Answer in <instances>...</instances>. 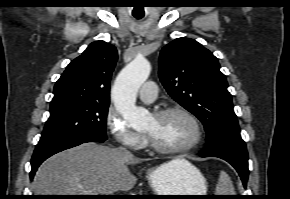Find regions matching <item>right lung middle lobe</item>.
Returning a JSON list of instances; mask_svg holds the SVG:
<instances>
[{"instance_id": "1", "label": "right lung middle lobe", "mask_w": 290, "mask_h": 199, "mask_svg": "<svg viewBox=\"0 0 290 199\" xmlns=\"http://www.w3.org/2000/svg\"><path fill=\"white\" fill-rule=\"evenodd\" d=\"M109 104L75 103L50 109L38 144L80 136L106 139V117Z\"/></svg>"}]
</instances>
